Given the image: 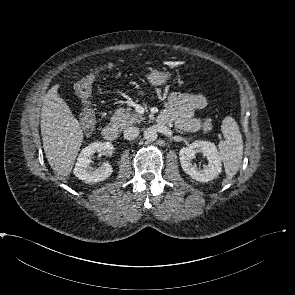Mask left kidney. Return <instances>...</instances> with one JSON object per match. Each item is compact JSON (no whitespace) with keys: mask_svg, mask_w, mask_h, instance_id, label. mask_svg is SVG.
<instances>
[{"mask_svg":"<svg viewBox=\"0 0 295 295\" xmlns=\"http://www.w3.org/2000/svg\"><path fill=\"white\" fill-rule=\"evenodd\" d=\"M196 153H202L208 160V164L202 169L192 163ZM179 159L184 172L199 182H208L221 172L222 164L217 148L208 141H195L188 147H183L179 152Z\"/></svg>","mask_w":295,"mask_h":295,"instance_id":"obj_1","label":"left kidney"}]
</instances>
